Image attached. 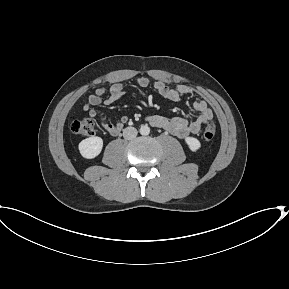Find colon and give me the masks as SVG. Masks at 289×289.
<instances>
[{"instance_id": "1", "label": "colon", "mask_w": 289, "mask_h": 289, "mask_svg": "<svg viewBox=\"0 0 289 289\" xmlns=\"http://www.w3.org/2000/svg\"><path fill=\"white\" fill-rule=\"evenodd\" d=\"M70 130L80 136H93L96 133V126L93 119L83 118L75 119L70 123ZM216 134V125L213 121H208L203 130V138L210 141Z\"/></svg>"}]
</instances>
